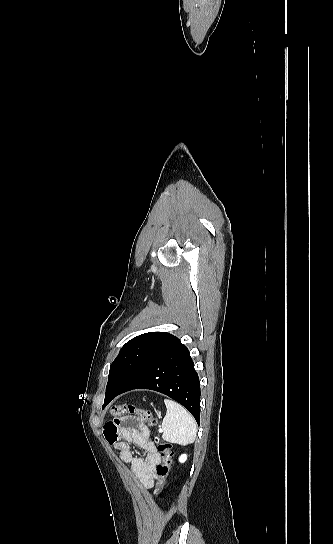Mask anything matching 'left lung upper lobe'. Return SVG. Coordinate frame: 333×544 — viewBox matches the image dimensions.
Returning a JSON list of instances; mask_svg holds the SVG:
<instances>
[{
    "label": "left lung upper lobe",
    "instance_id": "5c2ea615",
    "mask_svg": "<svg viewBox=\"0 0 333 544\" xmlns=\"http://www.w3.org/2000/svg\"><path fill=\"white\" fill-rule=\"evenodd\" d=\"M173 337L167 332H148L124 344L110 366L106 392L122 389Z\"/></svg>",
    "mask_w": 333,
    "mask_h": 544
}]
</instances>
